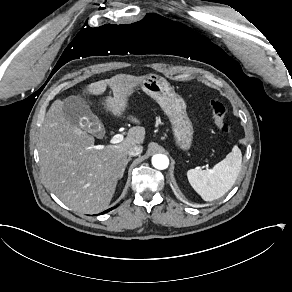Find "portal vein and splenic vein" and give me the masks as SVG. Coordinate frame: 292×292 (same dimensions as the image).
<instances>
[{"label": "portal vein and splenic vein", "mask_w": 292, "mask_h": 292, "mask_svg": "<svg viewBox=\"0 0 292 292\" xmlns=\"http://www.w3.org/2000/svg\"><path fill=\"white\" fill-rule=\"evenodd\" d=\"M123 141V135L122 134H116L112 137L111 139V143L113 144H117Z\"/></svg>", "instance_id": "18ae733b"}]
</instances>
